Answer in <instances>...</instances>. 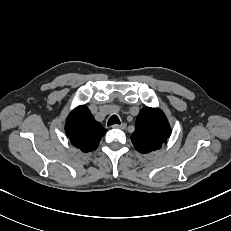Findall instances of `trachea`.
<instances>
[{
  "mask_svg": "<svg viewBox=\"0 0 231 231\" xmlns=\"http://www.w3.org/2000/svg\"><path fill=\"white\" fill-rule=\"evenodd\" d=\"M114 124H120V120L118 116L112 115L108 120V126L114 125Z\"/></svg>",
  "mask_w": 231,
  "mask_h": 231,
  "instance_id": "1",
  "label": "trachea"
}]
</instances>
